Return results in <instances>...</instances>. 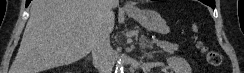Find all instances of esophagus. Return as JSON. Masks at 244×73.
<instances>
[{
	"instance_id": "34e87169",
	"label": "esophagus",
	"mask_w": 244,
	"mask_h": 73,
	"mask_svg": "<svg viewBox=\"0 0 244 73\" xmlns=\"http://www.w3.org/2000/svg\"><path fill=\"white\" fill-rule=\"evenodd\" d=\"M134 8H135V6H134V4L131 3V2H126V3L124 4V9H125V10H131V9H134Z\"/></svg>"
}]
</instances>
